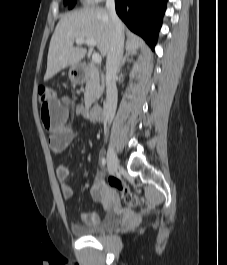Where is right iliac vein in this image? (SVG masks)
<instances>
[{
  "mask_svg": "<svg viewBox=\"0 0 227 265\" xmlns=\"http://www.w3.org/2000/svg\"><path fill=\"white\" fill-rule=\"evenodd\" d=\"M107 165L108 170L111 174H114L118 170L119 163L112 145H109Z\"/></svg>",
  "mask_w": 227,
  "mask_h": 265,
  "instance_id": "obj_1",
  "label": "right iliac vein"
}]
</instances>
